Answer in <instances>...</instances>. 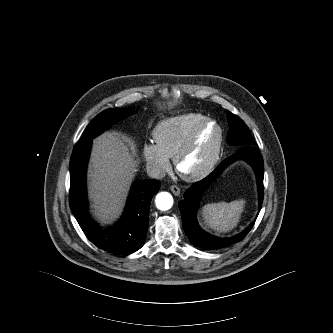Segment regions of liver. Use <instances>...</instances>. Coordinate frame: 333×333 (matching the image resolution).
<instances>
[{
	"instance_id": "1",
	"label": "liver",
	"mask_w": 333,
	"mask_h": 333,
	"mask_svg": "<svg viewBox=\"0 0 333 333\" xmlns=\"http://www.w3.org/2000/svg\"><path fill=\"white\" fill-rule=\"evenodd\" d=\"M90 162L89 190L95 213L99 220L111 222L121 212L138 161L126 137L105 132L94 139Z\"/></svg>"
}]
</instances>
